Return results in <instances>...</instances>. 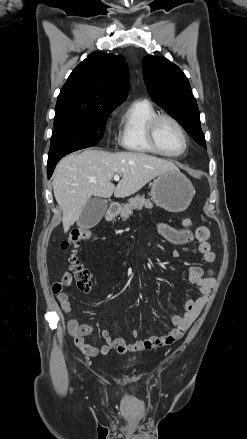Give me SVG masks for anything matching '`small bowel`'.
I'll return each instance as SVG.
<instances>
[{
  "mask_svg": "<svg viewBox=\"0 0 247 439\" xmlns=\"http://www.w3.org/2000/svg\"><path fill=\"white\" fill-rule=\"evenodd\" d=\"M158 233L168 242L174 245H185L192 240L198 241L197 250L201 254L203 260L211 263L216 259V253L211 249L209 243L210 231L205 226L198 227L195 232L188 229H177L165 223L157 225ZM172 257H179V252L174 250ZM213 272L209 270L207 276H204V270L199 265H193L189 269V282L198 288L201 296L194 300H187L185 303V312L183 315H173L171 318L173 328L158 336H151L146 339H140L136 329L132 331V336L136 338L134 342H127L123 338H112L109 331L103 329L101 337L105 341L104 345L97 346L88 343L85 337L90 334L94 327L92 325L80 324L74 317V312L69 301L68 295L63 291L72 281L70 273H66L60 281L53 283L52 291L56 295L62 311L69 316L67 321V329L73 338L75 345L87 356L95 357L98 355H106L111 350L123 354L128 351L152 350L163 346H168L178 341L191 325L193 320L200 314L209 300V295L215 284L212 276Z\"/></svg>",
  "mask_w": 247,
  "mask_h": 439,
  "instance_id": "c3829d8e",
  "label": "small bowel"
}]
</instances>
